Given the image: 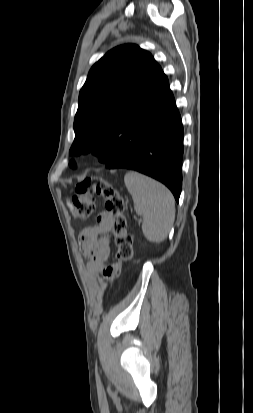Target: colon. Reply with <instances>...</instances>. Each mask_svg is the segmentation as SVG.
I'll return each mask as SVG.
<instances>
[{
    "mask_svg": "<svg viewBox=\"0 0 253 413\" xmlns=\"http://www.w3.org/2000/svg\"><path fill=\"white\" fill-rule=\"evenodd\" d=\"M94 194L104 198L106 209L113 216L117 261L129 262L133 257V239L127 232L124 199L112 184L100 177H87L78 182L69 201L73 216L79 220L92 216L96 207Z\"/></svg>",
    "mask_w": 253,
    "mask_h": 413,
    "instance_id": "obj_1",
    "label": "colon"
}]
</instances>
